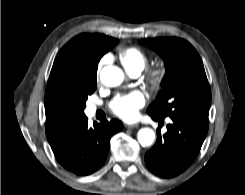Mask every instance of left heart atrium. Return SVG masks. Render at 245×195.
<instances>
[{
    "label": "left heart atrium",
    "mask_w": 245,
    "mask_h": 195,
    "mask_svg": "<svg viewBox=\"0 0 245 195\" xmlns=\"http://www.w3.org/2000/svg\"><path fill=\"white\" fill-rule=\"evenodd\" d=\"M144 103V95L140 91H133L116 96L110 103V109L116 116L130 121L138 116V111Z\"/></svg>",
    "instance_id": "left-heart-atrium-1"
}]
</instances>
